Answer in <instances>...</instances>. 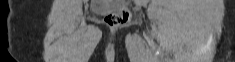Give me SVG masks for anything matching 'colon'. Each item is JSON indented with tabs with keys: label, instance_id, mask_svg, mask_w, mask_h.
<instances>
[{
	"label": "colon",
	"instance_id": "5ec220e1",
	"mask_svg": "<svg viewBox=\"0 0 235 62\" xmlns=\"http://www.w3.org/2000/svg\"><path fill=\"white\" fill-rule=\"evenodd\" d=\"M129 20L130 11L126 7L119 8L106 17L107 24L112 27L124 25L128 23Z\"/></svg>",
	"mask_w": 235,
	"mask_h": 62
}]
</instances>
